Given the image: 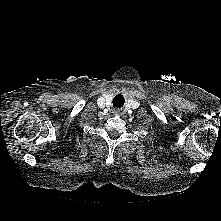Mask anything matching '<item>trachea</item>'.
I'll use <instances>...</instances> for the list:
<instances>
[{"label": "trachea", "mask_w": 221, "mask_h": 221, "mask_svg": "<svg viewBox=\"0 0 221 221\" xmlns=\"http://www.w3.org/2000/svg\"><path fill=\"white\" fill-rule=\"evenodd\" d=\"M120 98H122L121 95L116 96V97L113 99V105L118 106V107H121V104H119V102H118V99H120ZM123 103H124V98H123Z\"/></svg>", "instance_id": "3493384b"}]
</instances>
